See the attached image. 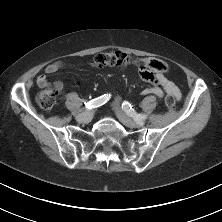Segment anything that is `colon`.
Instances as JSON below:
<instances>
[{
    "instance_id": "obj_1",
    "label": "colon",
    "mask_w": 222,
    "mask_h": 222,
    "mask_svg": "<svg viewBox=\"0 0 222 222\" xmlns=\"http://www.w3.org/2000/svg\"><path fill=\"white\" fill-rule=\"evenodd\" d=\"M94 64L97 67H117L125 68L127 66H134L138 71L142 68L152 71L154 73H163L167 70L166 64L156 58L133 59L128 55L119 52H101L94 56ZM60 89L57 82H50L45 80L43 89L37 95V103L39 107L45 111H50L54 108ZM165 103L168 109L175 108V98L172 95H167Z\"/></svg>"
}]
</instances>
